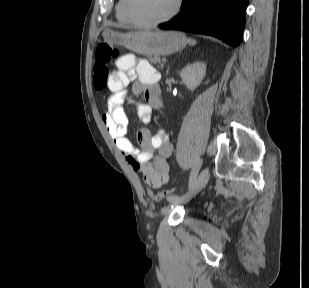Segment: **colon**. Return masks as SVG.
I'll list each match as a JSON object with an SVG mask.
<instances>
[{
  "mask_svg": "<svg viewBox=\"0 0 309 288\" xmlns=\"http://www.w3.org/2000/svg\"><path fill=\"white\" fill-rule=\"evenodd\" d=\"M119 53L109 43H100L96 48V62L93 67V86L96 90L106 89L109 82V65L117 59ZM178 187H173L161 192L149 190V194L154 201L160 202L172 196Z\"/></svg>",
  "mask_w": 309,
  "mask_h": 288,
  "instance_id": "obj_1",
  "label": "colon"
}]
</instances>
